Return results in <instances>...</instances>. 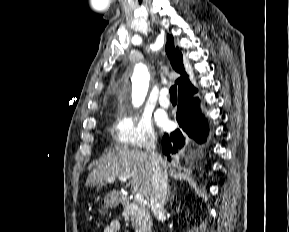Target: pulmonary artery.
<instances>
[{
    "label": "pulmonary artery",
    "mask_w": 289,
    "mask_h": 232,
    "mask_svg": "<svg viewBox=\"0 0 289 232\" xmlns=\"http://www.w3.org/2000/svg\"><path fill=\"white\" fill-rule=\"evenodd\" d=\"M168 95V89L163 88L160 91V96H159V104L164 107V108H168L170 106V100L167 97Z\"/></svg>",
    "instance_id": "e3ab8cb5"
}]
</instances>
